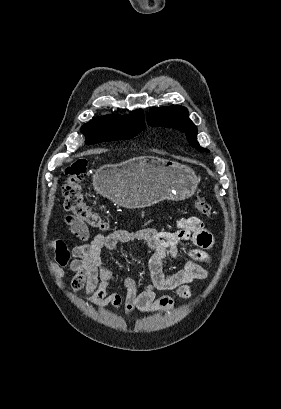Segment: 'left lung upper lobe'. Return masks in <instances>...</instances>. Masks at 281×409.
Instances as JSON below:
<instances>
[{
  "label": "left lung upper lobe",
  "instance_id": "1",
  "mask_svg": "<svg viewBox=\"0 0 281 409\" xmlns=\"http://www.w3.org/2000/svg\"><path fill=\"white\" fill-rule=\"evenodd\" d=\"M149 125L165 126L176 128L186 133L187 139L191 146L201 152H209V150L201 148L197 142V128L188 117V110L181 106H170L163 108L151 109L147 117Z\"/></svg>",
  "mask_w": 281,
  "mask_h": 409
}]
</instances>
